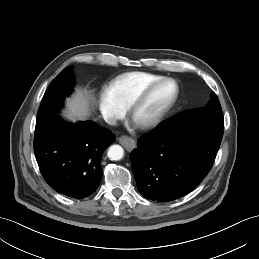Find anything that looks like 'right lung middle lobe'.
Masks as SVG:
<instances>
[{
	"instance_id": "obj_1",
	"label": "right lung middle lobe",
	"mask_w": 259,
	"mask_h": 259,
	"mask_svg": "<svg viewBox=\"0 0 259 259\" xmlns=\"http://www.w3.org/2000/svg\"><path fill=\"white\" fill-rule=\"evenodd\" d=\"M72 66L65 68L47 88L37 113L36 129L55 115L63 105L64 98L73 91Z\"/></svg>"
}]
</instances>
